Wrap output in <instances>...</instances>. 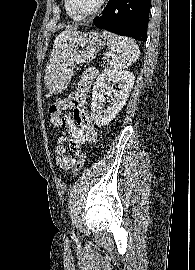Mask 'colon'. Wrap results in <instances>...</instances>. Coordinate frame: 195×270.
I'll use <instances>...</instances> for the list:
<instances>
[{
    "label": "colon",
    "mask_w": 195,
    "mask_h": 270,
    "mask_svg": "<svg viewBox=\"0 0 195 270\" xmlns=\"http://www.w3.org/2000/svg\"><path fill=\"white\" fill-rule=\"evenodd\" d=\"M65 99L66 98L58 99L49 105L48 113H49L50 117L58 116V115H60V113L65 111L66 106H67ZM85 158H86L85 154H81L79 160L76 162V164L74 166V173L76 175L79 174L81 172V170L83 169L84 164H85Z\"/></svg>",
    "instance_id": "obj_1"
}]
</instances>
